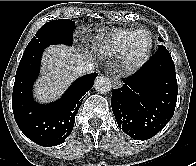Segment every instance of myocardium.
<instances>
[{
	"label": "myocardium",
	"mask_w": 196,
	"mask_h": 166,
	"mask_svg": "<svg viewBox=\"0 0 196 166\" xmlns=\"http://www.w3.org/2000/svg\"><path fill=\"white\" fill-rule=\"evenodd\" d=\"M144 32L148 37L146 49L140 54H136L131 47V40L135 34ZM153 49V38L151 33L144 28L132 30L126 39V49L123 54L122 66L128 72H135L142 68L150 59Z\"/></svg>",
	"instance_id": "1"
}]
</instances>
